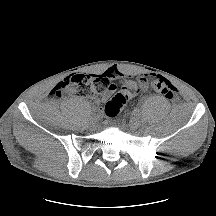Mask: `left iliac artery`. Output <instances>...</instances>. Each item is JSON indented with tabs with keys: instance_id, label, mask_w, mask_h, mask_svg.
<instances>
[{
	"instance_id": "obj_1",
	"label": "left iliac artery",
	"mask_w": 216,
	"mask_h": 216,
	"mask_svg": "<svg viewBox=\"0 0 216 216\" xmlns=\"http://www.w3.org/2000/svg\"><path fill=\"white\" fill-rule=\"evenodd\" d=\"M134 112H135L136 115H139V114H140V109H139V108H136V109L134 110Z\"/></svg>"
}]
</instances>
